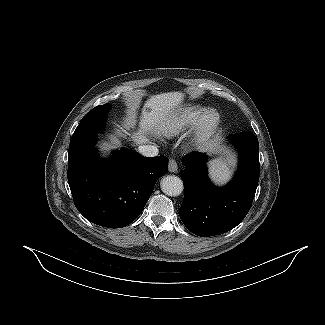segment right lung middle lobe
<instances>
[{
  "label": "right lung middle lobe",
  "instance_id": "obj_1",
  "mask_svg": "<svg viewBox=\"0 0 325 325\" xmlns=\"http://www.w3.org/2000/svg\"><path fill=\"white\" fill-rule=\"evenodd\" d=\"M110 110L109 104H104L93 108L82 119L76 128V134H88L91 132H100L105 125V119Z\"/></svg>",
  "mask_w": 325,
  "mask_h": 325
}]
</instances>
